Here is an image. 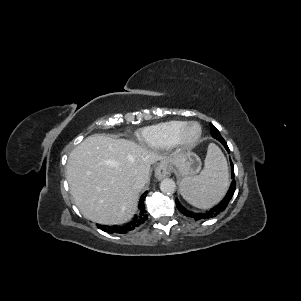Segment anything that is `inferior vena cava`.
Listing matches in <instances>:
<instances>
[{
  "label": "inferior vena cava",
  "mask_w": 301,
  "mask_h": 301,
  "mask_svg": "<svg viewBox=\"0 0 301 301\" xmlns=\"http://www.w3.org/2000/svg\"><path fill=\"white\" fill-rule=\"evenodd\" d=\"M146 183L145 176H137L133 180V184L137 189H142Z\"/></svg>",
  "instance_id": "602c4592"
}]
</instances>
